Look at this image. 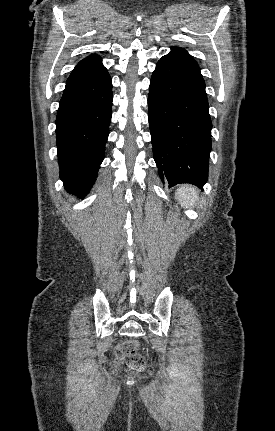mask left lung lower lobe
<instances>
[{
	"mask_svg": "<svg viewBox=\"0 0 275 431\" xmlns=\"http://www.w3.org/2000/svg\"><path fill=\"white\" fill-rule=\"evenodd\" d=\"M149 125L158 173L170 187L208 178L212 123L205 82L194 58L172 47L152 74Z\"/></svg>",
	"mask_w": 275,
	"mask_h": 431,
	"instance_id": "left-lung-lower-lobe-1",
	"label": "left lung lower lobe"
}]
</instances>
